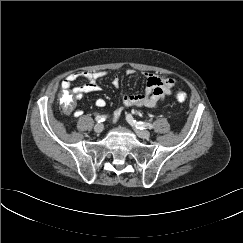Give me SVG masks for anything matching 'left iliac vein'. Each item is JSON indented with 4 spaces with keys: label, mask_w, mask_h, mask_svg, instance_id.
Here are the masks:
<instances>
[{
    "label": "left iliac vein",
    "mask_w": 243,
    "mask_h": 243,
    "mask_svg": "<svg viewBox=\"0 0 243 243\" xmlns=\"http://www.w3.org/2000/svg\"><path fill=\"white\" fill-rule=\"evenodd\" d=\"M136 132V134L142 139H148L150 137V132L147 130H141L135 127V125L131 124Z\"/></svg>",
    "instance_id": "4c4485c4"
}]
</instances>
